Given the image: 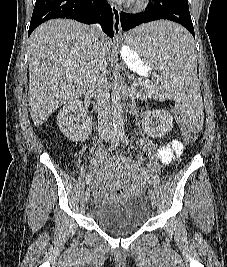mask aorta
Wrapping results in <instances>:
<instances>
[{
  "label": "aorta",
  "mask_w": 227,
  "mask_h": 267,
  "mask_svg": "<svg viewBox=\"0 0 227 267\" xmlns=\"http://www.w3.org/2000/svg\"><path fill=\"white\" fill-rule=\"evenodd\" d=\"M112 121L114 127H121L123 125V116H122V103H121V96H120V89L115 78V81L112 85Z\"/></svg>",
  "instance_id": "1"
}]
</instances>
